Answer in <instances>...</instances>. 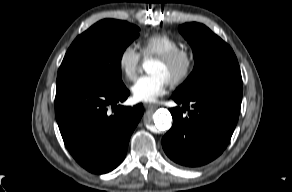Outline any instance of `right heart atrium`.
<instances>
[{"label":"right heart atrium","instance_id":"1","mask_svg":"<svg viewBox=\"0 0 292 192\" xmlns=\"http://www.w3.org/2000/svg\"><path fill=\"white\" fill-rule=\"evenodd\" d=\"M140 58V53L132 44L126 45L120 51L118 55V67L127 80H133L136 77Z\"/></svg>","mask_w":292,"mask_h":192}]
</instances>
